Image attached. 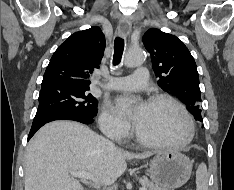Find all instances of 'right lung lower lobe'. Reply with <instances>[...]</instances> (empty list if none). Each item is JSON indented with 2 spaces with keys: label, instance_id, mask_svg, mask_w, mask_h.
<instances>
[{
  "label": "right lung lower lobe",
  "instance_id": "right-lung-lower-lobe-1",
  "mask_svg": "<svg viewBox=\"0 0 234 190\" xmlns=\"http://www.w3.org/2000/svg\"><path fill=\"white\" fill-rule=\"evenodd\" d=\"M55 120H73V121H78L84 124H91L93 122V119L81 117L75 114H69V113H57V114H52L38 122L32 125L28 140L35 134V132L41 128L44 124L55 121Z\"/></svg>",
  "mask_w": 234,
  "mask_h": 190
}]
</instances>
